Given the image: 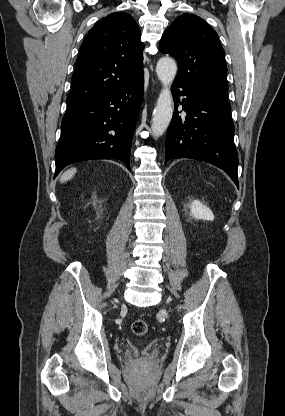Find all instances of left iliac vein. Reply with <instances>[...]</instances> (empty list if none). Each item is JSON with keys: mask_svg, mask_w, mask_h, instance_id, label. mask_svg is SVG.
Segmentation results:
<instances>
[{"mask_svg": "<svg viewBox=\"0 0 285 416\" xmlns=\"http://www.w3.org/2000/svg\"><path fill=\"white\" fill-rule=\"evenodd\" d=\"M163 315L167 316V311H164V312H163Z\"/></svg>", "mask_w": 285, "mask_h": 416, "instance_id": "4c4485c4", "label": "left iliac vein"}]
</instances>
